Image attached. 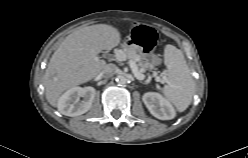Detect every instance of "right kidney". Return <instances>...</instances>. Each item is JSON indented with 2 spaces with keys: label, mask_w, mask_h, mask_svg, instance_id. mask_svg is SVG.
<instances>
[{
  "label": "right kidney",
  "mask_w": 248,
  "mask_h": 158,
  "mask_svg": "<svg viewBox=\"0 0 248 158\" xmlns=\"http://www.w3.org/2000/svg\"><path fill=\"white\" fill-rule=\"evenodd\" d=\"M95 93V89L90 86L73 87L59 98L58 110L70 117L82 115L91 108Z\"/></svg>",
  "instance_id": "1"
}]
</instances>
